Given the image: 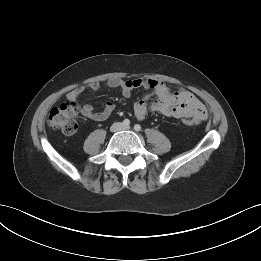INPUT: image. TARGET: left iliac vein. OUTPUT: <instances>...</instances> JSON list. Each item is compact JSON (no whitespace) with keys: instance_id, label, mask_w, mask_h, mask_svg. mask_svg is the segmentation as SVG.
I'll return each mask as SVG.
<instances>
[{"instance_id":"obj_1","label":"left iliac vein","mask_w":261,"mask_h":261,"mask_svg":"<svg viewBox=\"0 0 261 261\" xmlns=\"http://www.w3.org/2000/svg\"><path fill=\"white\" fill-rule=\"evenodd\" d=\"M122 129L123 130H130V126H123Z\"/></svg>"}]
</instances>
